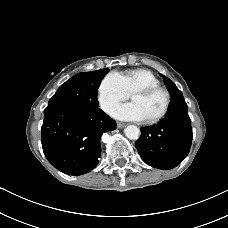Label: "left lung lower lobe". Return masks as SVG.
<instances>
[{
  "label": "left lung lower lobe",
  "instance_id": "0a47b994",
  "mask_svg": "<svg viewBox=\"0 0 228 228\" xmlns=\"http://www.w3.org/2000/svg\"><path fill=\"white\" fill-rule=\"evenodd\" d=\"M191 120L183 95L172 99L166 117L157 125L141 128L136 148L145 163L172 169L188 155L192 143Z\"/></svg>",
  "mask_w": 228,
  "mask_h": 228
}]
</instances>
